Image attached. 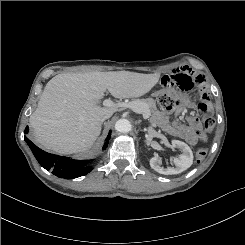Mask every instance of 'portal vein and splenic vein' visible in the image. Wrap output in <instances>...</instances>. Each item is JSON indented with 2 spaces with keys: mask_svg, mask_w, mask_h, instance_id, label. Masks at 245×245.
<instances>
[{
  "mask_svg": "<svg viewBox=\"0 0 245 245\" xmlns=\"http://www.w3.org/2000/svg\"><path fill=\"white\" fill-rule=\"evenodd\" d=\"M114 103L110 100V99H105L104 101H103V105L104 106H112ZM118 106L119 107H126V108H131L132 110H135V109H137V106H136V104H134V103H118ZM149 116H150V112H149V110L148 109H146L144 112H143V118L146 120V119H148L149 118Z\"/></svg>",
  "mask_w": 245,
  "mask_h": 245,
  "instance_id": "18ae733b",
  "label": "portal vein and splenic vein"
}]
</instances>
